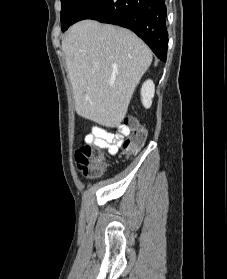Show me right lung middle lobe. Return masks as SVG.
<instances>
[{
	"label": "right lung middle lobe",
	"mask_w": 227,
	"mask_h": 279,
	"mask_svg": "<svg viewBox=\"0 0 227 279\" xmlns=\"http://www.w3.org/2000/svg\"><path fill=\"white\" fill-rule=\"evenodd\" d=\"M84 0H61V28L62 31L68 29L73 24L74 16Z\"/></svg>",
	"instance_id": "dd1d6c3e"
}]
</instances>
